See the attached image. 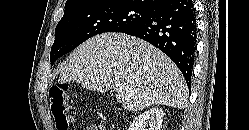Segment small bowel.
Wrapping results in <instances>:
<instances>
[{"label": "small bowel", "instance_id": "obj_1", "mask_svg": "<svg viewBox=\"0 0 249 130\" xmlns=\"http://www.w3.org/2000/svg\"><path fill=\"white\" fill-rule=\"evenodd\" d=\"M82 130H105L103 125L99 124H88L85 125Z\"/></svg>", "mask_w": 249, "mask_h": 130}]
</instances>
